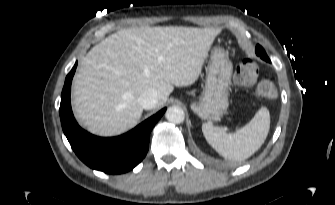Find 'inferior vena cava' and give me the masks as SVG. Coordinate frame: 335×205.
Returning a JSON list of instances; mask_svg holds the SVG:
<instances>
[{"label":"inferior vena cava","mask_w":335,"mask_h":205,"mask_svg":"<svg viewBox=\"0 0 335 205\" xmlns=\"http://www.w3.org/2000/svg\"><path fill=\"white\" fill-rule=\"evenodd\" d=\"M157 100V91L155 89H148L139 96L138 103L143 109L150 110L156 107Z\"/></svg>","instance_id":"602c4592"}]
</instances>
